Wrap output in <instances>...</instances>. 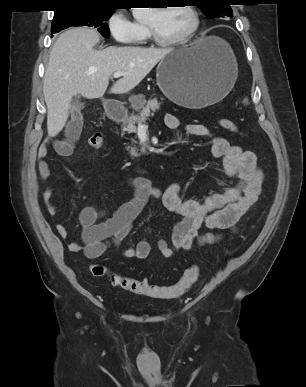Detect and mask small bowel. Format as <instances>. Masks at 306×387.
I'll use <instances>...</instances> for the list:
<instances>
[{
    "label": "small bowel",
    "mask_w": 306,
    "mask_h": 387,
    "mask_svg": "<svg viewBox=\"0 0 306 387\" xmlns=\"http://www.w3.org/2000/svg\"><path fill=\"white\" fill-rule=\"evenodd\" d=\"M164 122L171 130H176L180 126V121L173 114H166ZM80 131V121L73 120L67 125L64 138L41 143L38 148V171L42 179H47L50 175L48 164L44 160L50 145L58 155L71 156ZM185 131L190 136L210 139L211 155L222 160L226 177L235 180V183L227 186L226 182L222 181L220 184L224 189L221 192L211 193L203 199H183L178 183H171L161 189L153 186L145 178H135L131 181V198L112 214L107 215L94 207L81 209L78 218L83 229L82 241L70 242L68 244L70 251L82 252L87 258L96 259L110 247L118 246L130 235L134 221L151 198L159 199L168 211L180 217L172 230L171 245L161 237L156 239L159 252L166 258L174 256L178 251L190 250L196 240L201 244L215 242L218 239L217 235L200 233L203 226L213 230L235 228L261 193L263 172L258 166L255 153L232 145L224 137H214L209 128L202 124H188ZM53 196V189L47 187L43 192V198L51 215L56 213ZM56 230L61 237H67L65 226L58 224ZM147 231L151 232V229ZM151 248L150 241L143 238L125 248L122 256L125 259L145 260L149 257Z\"/></svg>",
    "instance_id": "c3829d8e"
}]
</instances>
